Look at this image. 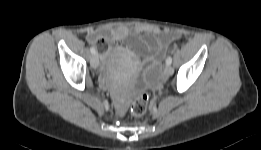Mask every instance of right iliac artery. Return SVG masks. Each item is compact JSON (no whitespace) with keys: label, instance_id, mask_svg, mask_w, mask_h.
<instances>
[{"label":"right iliac artery","instance_id":"82829eb1","mask_svg":"<svg viewBox=\"0 0 261 150\" xmlns=\"http://www.w3.org/2000/svg\"><path fill=\"white\" fill-rule=\"evenodd\" d=\"M90 51H91L92 54H95V53H96V49H95L94 47H91V48H90Z\"/></svg>","mask_w":261,"mask_h":150}]
</instances>
